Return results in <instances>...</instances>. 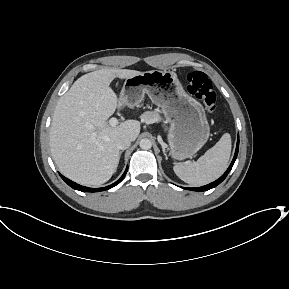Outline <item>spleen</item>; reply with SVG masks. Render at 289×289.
Here are the masks:
<instances>
[{"label":"spleen","mask_w":289,"mask_h":289,"mask_svg":"<svg viewBox=\"0 0 289 289\" xmlns=\"http://www.w3.org/2000/svg\"><path fill=\"white\" fill-rule=\"evenodd\" d=\"M231 154V137L225 133L220 140L195 162L176 164L175 174L192 186H202L219 178L225 171Z\"/></svg>","instance_id":"spleen-1"}]
</instances>
